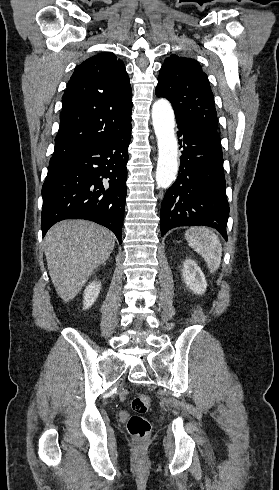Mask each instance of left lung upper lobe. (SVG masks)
<instances>
[{
	"mask_svg": "<svg viewBox=\"0 0 279 490\" xmlns=\"http://www.w3.org/2000/svg\"><path fill=\"white\" fill-rule=\"evenodd\" d=\"M156 95L172 103L176 119L217 130V113L208 77L194 59L176 55L166 58L159 73Z\"/></svg>",
	"mask_w": 279,
	"mask_h": 490,
	"instance_id": "left-lung-upper-lobe-1",
	"label": "left lung upper lobe"
}]
</instances>
